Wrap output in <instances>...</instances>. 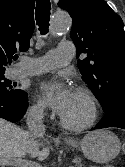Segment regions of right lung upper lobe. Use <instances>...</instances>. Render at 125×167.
Returning <instances> with one entry per match:
<instances>
[{
	"label": "right lung upper lobe",
	"mask_w": 125,
	"mask_h": 167,
	"mask_svg": "<svg viewBox=\"0 0 125 167\" xmlns=\"http://www.w3.org/2000/svg\"><path fill=\"white\" fill-rule=\"evenodd\" d=\"M35 0H0V73L14 59L27 51L34 31Z\"/></svg>",
	"instance_id": "1"
}]
</instances>
